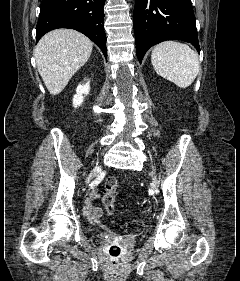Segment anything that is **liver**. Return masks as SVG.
Segmentation results:
<instances>
[{
	"mask_svg": "<svg viewBox=\"0 0 240 281\" xmlns=\"http://www.w3.org/2000/svg\"><path fill=\"white\" fill-rule=\"evenodd\" d=\"M92 48L90 39L72 29H56L40 39L34 56L50 94L61 93L71 77L88 61Z\"/></svg>",
	"mask_w": 240,
	"mask_h": 281,
	"instance_id": "6515ba94",
	"label": "liver"
}]
</instances>
